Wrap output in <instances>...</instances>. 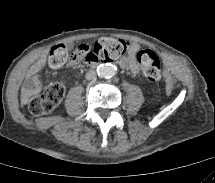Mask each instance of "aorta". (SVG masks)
Returning <instances> with one entry per match:
<instances>
[{
  "label": "aorta",
  "instance_id": "1",
  "mask_svg": "<svg viewBox=\"0 0 215 183\" xmlns=\"http://www.w3.org/2000/svg\"><path fill=\"white\" fill-rule=\"evenodd\" d=\"M97 73L103 78H110L116 73V67L110 63L101 64L97 67Z\"/></svg>",
  "mask_w": 215,
  "mask_h": 183
}]
</instances>
